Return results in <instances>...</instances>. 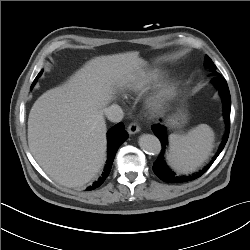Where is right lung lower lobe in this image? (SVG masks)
<instances>
[{"label": "right lung lower lobe", "mask_w": 250, "mask_h": 250, "mask_svg": "<svg viewBox=\"0 0 250 250\" xmlns=\"http://www.w3.org/2000/svg\"><path fill=\"white\" fill-rule=\"evenodd\" d=\"M128 134L124 130L123 123H118L114 127H112L107 133V140H108V157L105 164V168L102 172V175L99 177L97 181L93 183L92 186H89L87 190H93L99 187L106 177L109 175L111 166L113 164V160L115 154L119 148V146L127 139Z\"/></svg>", "instance_id": "98d812e1"}]
</instances>
